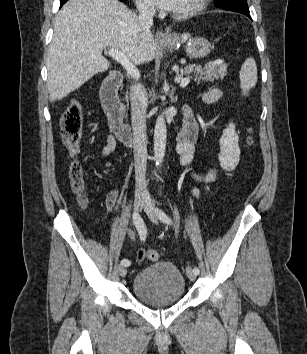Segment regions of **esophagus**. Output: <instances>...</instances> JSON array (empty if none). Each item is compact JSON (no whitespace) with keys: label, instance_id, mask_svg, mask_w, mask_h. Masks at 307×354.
Here are the masks:
<instances>
[{"label":"esophagus","instance_id":"1","mask_svg":"<svg viewBox=\"0 0 307 354\" xmlns=\"http://www.w3.org/2000/svg\"><path fill=\"white\" fill-rule=\"evenodd\" d=\"M167 37L166 33L163 31H157L156 32V38L159 40H164Z\"/></svg>","mask_w":307,"mask_h":354}]
</instances>
